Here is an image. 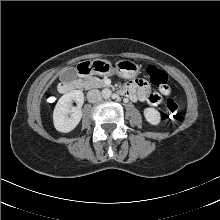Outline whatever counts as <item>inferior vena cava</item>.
<instances>
[{"label":"inferior vena cava","mask_w":220,"mask_h":220,"mask_svg":"<svg viewBox=\"0 0 220 220\" xmlns=\"http://www.w3.org/2000/svg\"><path fill=\"white\" fill-rule=\"evenodd\" d=\"M87 99L90 103H96L101 101L102 95L98 89H92L87 93Z\"/></svg>","instance_id":"1"}]
</instances>
